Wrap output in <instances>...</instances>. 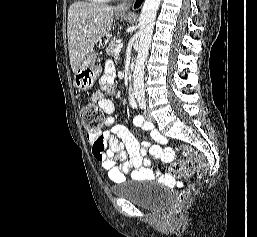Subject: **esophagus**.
Returning <instances> with one entry per match:
<instances>
[{"label": "esophagus", "instance_id": "34e87169", "mask_svg": "<svg viewBox=\"0 0 257 237\" xmlns=\"http://www.w3.org/2000/svg\"><path fill=\"white\" fill-rule=\"evenodd\" d=\"M134 0H121L117 5L116 11L121 13H126L130 11V7Z\"/></svg>", "mask_w": 257, "mask_h": 237}]
</instances>
